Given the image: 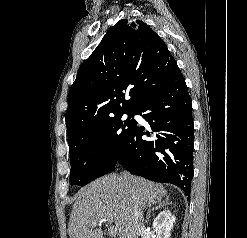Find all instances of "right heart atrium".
Here are the masks:
<instances>
[{"mask_svg":"<svg viewBox=\"0 0 247 238\" xmlns=\"http://www.w3.org/2000/svg\"><path fill=\"white\" fill-rule=\"evenodd\" d=\"M108 148L107 142L102 143V149L106 150Z\"/></svg>","mask_w":247,"mask_h":238,"instance_id":"right-heart-atrium-1","label":"right heart atrium"}]
</instances>
